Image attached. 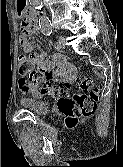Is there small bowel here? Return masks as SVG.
<instances>
[{"label": "small bowel", "mask_w": 123, "mask_h": 167, "mask_svg": "<svg viewBox=\"0 0 123 167\" xmlns=\"http://www.w3.org/2000/svg\"><path fill=\"white\" fill-rule=\"evenodd\" d=\"M16 3L18 10H15V14H18V17H25L24 11L27 9L28 1L16 0ZM28 17L29 21L23 23V33L19 38V43L22 49L26 53L30 54L32 66L51 74L54 79H61L65 81L71 80L74 76L73 68L62 66L61 62L57 60V55L47 57L45 52H34V45L30 42L29 36L36 31L37 26L35 19L31 17L30 13L28 14ZM18 83L19 89L22 93L31 94L34 96L40 95L38 88L31 83L26 82L24 78H20Z\"/></svg>", "instance_id": "1"}]
</instances>
